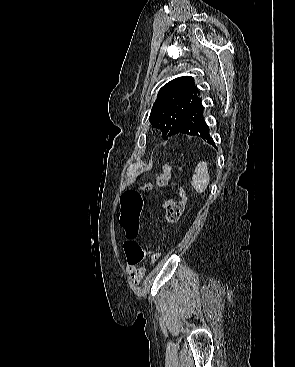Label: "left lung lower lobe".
I'll return each mask as SVG.
<instances>
[{
  "label": "left lung lower lobe",
  "instance_id": "left-lung-lower-lobe-1",
  "mask_svg": "<svg viewBox=\"0 0 295 367\" xmlns=\"http://www.w3.org/2000/svg\"><path fill=\"white\" fill-rule=\"evenodd\" d=\"M176 134L198 136L207 143L215 146L210 129L204 118V107L201 98H199L197 103L188 111L180 124L174 129L172 135Z\"/></svg>",
  "mask_w": 295,
  "mask_h": 367
}]
</instances>
